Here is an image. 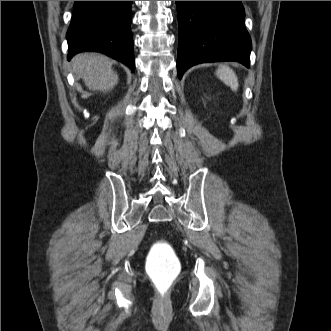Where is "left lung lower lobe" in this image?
I'll use <instances>...</instances> for the list:
<instances>
[{
  "instance_id": "obj_1",
  "label": "left lung lower lobe",
  "mask_w": 331,
  "mask_h": 331,
  "mask_svg": "<svg viewBox=\"0 0 331 331\" xmlns=\"http://www.w3.org/2000/svg\"><path fill=\"white\" fill-rule=\"evenodd\" d=\"M176 6L179 79L200 63L236 61L250 67L252 45L241 1H176Z\"/></svg>"
}]
</instances>
